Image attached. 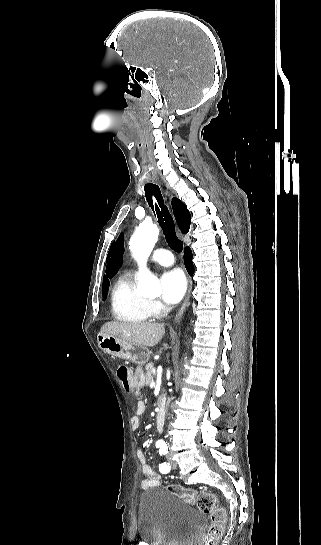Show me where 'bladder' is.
I'll return each mask as SVG.
<instances>
[{"label":"bladder","mask_w":321,"mask_h":545,"mask_svg":"<svg viewBox=\"0 0 321 545\" xmlns=\"http://www.w3.org/2000/svg\"><path fill=\"white\" fill-rule=\"evenodd\" d=\"M205 524L202 512L164 488L140 496L138 534L147 545H191Z\"/></svg>","instance_id":"31cf9c89"}]
</instances>
